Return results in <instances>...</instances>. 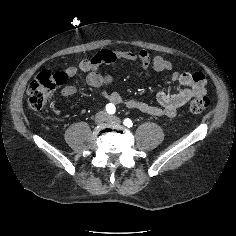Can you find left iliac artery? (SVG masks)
Returning a JSON list of instances; mask_svg holds the SVG:
<instances>
[{
    "instance_id": "obj_1",
    "label": "left iliac artery",
    "mask_w": 236,
    "mask_h": 236,
    "mask_svg": "<svg viewBox=\"0 0 236 236\" xmlns=\"http://www.w3.org/2000/svg\"><path fill=\"white\" fill-rule=\"evenodd\" d=\"M123 123L125 126H127L129 128L133 126V122L129 118H125Z\"/></svg>"
}]
</instances>
